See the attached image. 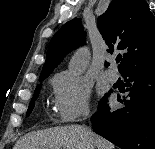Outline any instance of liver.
Wrapping results in <instances>:
<instances>
[{"instance_id":"6515ba94","label":"liver","mask_w":155,"mask_h":149,"mask_svg":"<svg viewBox=\"0 0 155 149\" xmlns=\"http://www.w3.org/2000/svg\"><path fill=\"white\" fill-rule=\"evenodd\" d=\"M114 145L80 125L34 131L21 137L13 149H114Z\"/></svg>"}]
</instances>
